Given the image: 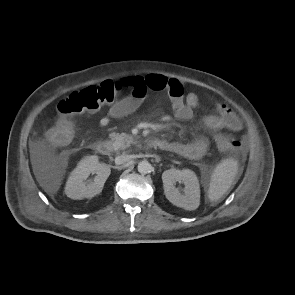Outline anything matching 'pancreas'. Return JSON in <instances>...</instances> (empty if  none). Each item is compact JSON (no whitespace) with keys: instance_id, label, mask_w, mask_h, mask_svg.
I'll return each instance as SVG.
<instances>
[{"instance_id":"pancreas-1","label":"pancreas","mask_w":295,"mask_h":295,"mask_svg":"<svg viewBox=\"0 0 295 295\" xmlns=\"http://www.w3.org/2000/svg\"><path fill=\"white\" fill-rule=\"evenodd\" d=\"M109 137L111 139L113 150H125L128 148L132 143H134V138L132 135L126 134V133H110Z\"/></svg>"}]
</instances>
